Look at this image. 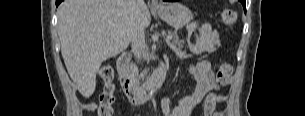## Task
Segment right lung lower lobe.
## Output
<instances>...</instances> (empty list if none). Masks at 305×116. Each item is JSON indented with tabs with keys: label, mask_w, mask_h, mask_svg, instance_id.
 <instances>
[{
	"label": "right lung lower lobe",
	"mask_w": 305,
	"mask_h": 116,
	"mask_svg": "<svg viewBox=\"0 0 305 116\" xmlns=\"http://www.w3.org/2000/svg\"><path fill=\"white\" fill-rule=\"evenodd\" d=\"M61 2L62 0H56V6H58Z\"/></svg>",
	"instance_id": "obj_1"
}]
</instances>
